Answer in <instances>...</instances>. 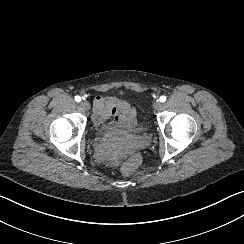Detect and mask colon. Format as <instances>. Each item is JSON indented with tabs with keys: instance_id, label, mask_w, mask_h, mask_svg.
Segmentation results:
<instances>
[{
	"instance_id": "1",
	"label": "colon",
	"mask_w": 244,
	"mask_h": 244,
	"mask_svg": "<svg viewBox=\"0 0 244 244\" xmlns=\"http://www.w3.org/2000/svg\"><path fill=\"white\" fill-rule=\"evenodd\" d=\"M138 171V166L135 163H130L122 168V173L125 176H133Z\"/></svg>"
}]
</instances>
